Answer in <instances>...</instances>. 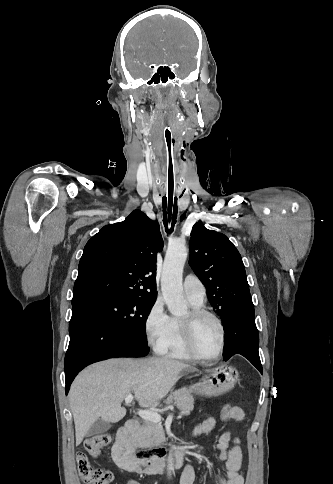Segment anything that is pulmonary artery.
<instances>
[{"label": "pulmonary artery", "instance_id": "e3ab8cb5", "mask_svg": "<svg viewBox=\"0 0 333 484\" xmlns=\"http://www.w3.org/2000/svg\"><path fill=\"white\" fill-rule=\"evenodd\" d=\"M183 287L188 299L198 303H203L206 296V290L202 282L193 274L185 276Z\"/></svg>", "mask_w": 333, "mask_h": 484}]
</instances>
